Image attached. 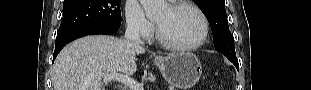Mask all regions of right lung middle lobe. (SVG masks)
Returning <instances> with one entry per match:
<instances>
[{"mask_svg":"<svg viewBox=\"0 0 311 90\" xmlns=\"http://www.w3.org/2000/svg\"><path fill=\"white\" fill-rule=\"evenodd\" d=\"M121 0H64L57 36L86 26H120Z\"/></svg>","mask_w":311,"mask_h":90,"instance_id":"dd1d6c3e","label":"right lung middle lobe"}]
</instances>
